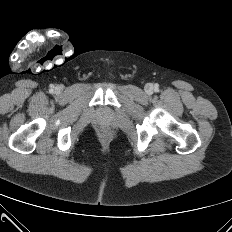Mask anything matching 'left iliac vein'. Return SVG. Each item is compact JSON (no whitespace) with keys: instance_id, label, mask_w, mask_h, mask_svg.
I'll return each instance as SVG.
<instances>
[{"instance_id":"4c4485c4","label":"left iliac vein","mask_w":232,"mask_h":232,"mask_svg":"<svg viewBox=\"0 0 232 232\" xmlns=\"http://www.w3.org/2000/svg\"><path fill=\"white\" fill-rule=\"evenodd\" d=\"M145 91L147 94H151L153 92V85L152 84H147L145 86Z\"/></svg>"}]
</instances>
